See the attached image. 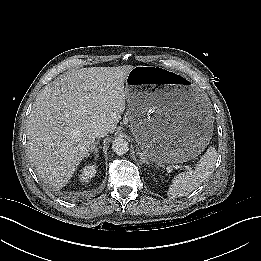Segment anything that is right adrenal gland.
I'll return each mask as SVG.
<instances>
[{
    "instance_id": "right-adrenal-gland-1",
    "label": "right adrenal gland",
    "mask_w": 261,
    "mask_h": 261,
    "mask_svg": "<svg viewBox=\"0 0 261 261\" xmlns=\"http://www.w3.org/2000/svg\"><path fill=\"white\" fill-rule=\"evenodd\" d=\"M99 143V140L95 142L94 148L91 153L95 154V159L99 156L98 151L99 148L97 147V144Z\"/></svg>"
}]
</instances>
